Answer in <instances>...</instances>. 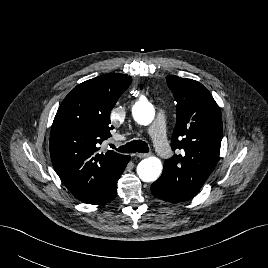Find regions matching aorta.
I'll list each match as a JSON object with an SVG mask.
<instances>
[{"mask_svg":"<svg viewBox=\"0 0 268 268\" xmlns=\"http://www.w3.org/2000/svg\"><path fill=\"white\" fill-rule=\"evenodd\" d=\"M134 120L140 125H149L155 116L153 105L148 101L137 102L132 109ZM162 172V163L157 157L143 159L137 166V174L143 182L156 181Z\"/></svg>","mask_w":268,"mask_h":268,"instance_id":"762f6f07","label":"aorta"}]
</instances>
